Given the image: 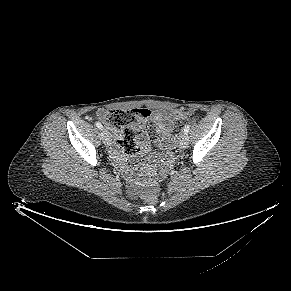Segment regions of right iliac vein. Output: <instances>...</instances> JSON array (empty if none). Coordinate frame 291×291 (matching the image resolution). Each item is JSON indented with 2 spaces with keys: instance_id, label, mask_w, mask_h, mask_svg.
<instances>
[{
  "instance_id": "1",
  "label": "right iliac vein",
  "mask_w": 291,
  "mask_h": 291,
  "mask_svg": "<svg viewBox=\"0 0 291 291\" xmlns=\"http://www.w3.org/2000/svg\"><path fill=\"white\" fill-rule=\"evenodd\" d=\"M101 137H102V140H103L105 145H110L111 144L110 135L106 130H102Z\"/></svg>"
}]
</instances>
